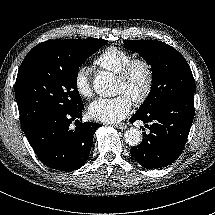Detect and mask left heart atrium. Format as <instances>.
<instances>
[{"mask_svg": "<svg viewBox=\"0 0 215 215\" xmlns=\"http://www.w3.org/2000/svg\"><path fill=\"white\" fill-rule=\"evenodd\" d=\"M132 99L126 94L114 98H99L91 103L88 113L91 119L103 123H115L131 111Z\"/></svg>", "mask_w": 215, "mask_h": 215, "instance_id": "1", "label": "left heart atrium"}]
</instances>
